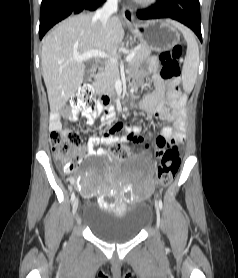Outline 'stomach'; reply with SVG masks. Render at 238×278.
<instances>
[{
  "label": "stomach",
  "mask_w": 238,
  "mask_h": 278,
  "mask_svg": "<svg viewBox=\"0 0 238 278\" xmlns=\"http://www.w3.org/2000/svg\"><path fill=\"white\" fill-rule=\"evenodd\" d=\"M141 44L157 51L168 50L180 40L176 27L168 20H148L129 26Z\"/></svg>",
  "instance_id": "stomach-1"
}]
</instances>
